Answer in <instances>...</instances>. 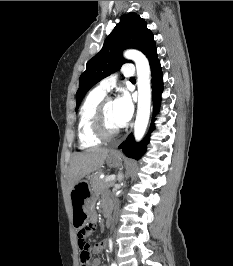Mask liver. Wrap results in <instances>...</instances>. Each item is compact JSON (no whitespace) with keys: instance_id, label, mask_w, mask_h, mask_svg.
Segmentation results:
<instances>
[{"instance_id":"6515ba94","label":"liver","mask_w":233,"mask_h":266,"mask_svg":"<svg viewBox=\"0 0 233 266\" xmlns=\"http://www.w3.org/2000/svg\"><path fill=\"white\" fill-rule=\"evenodd\" d=\"M109 152V149L93 148L75 153L71 159L68 173L69 190L72 191L74 186L86 175L98 170L104 164Z\"/></svg>"}]
</instances>
